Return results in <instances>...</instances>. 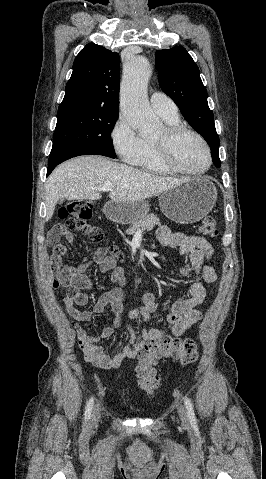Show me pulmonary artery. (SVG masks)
Segmentation results:
<instances>
[{
  "mask_svg": "<svg viewBox=\"0 0 266 479\" xmlns=\"http://www.w3.org/2000/svg\"><path fill=\"white\" fill-rule=\"evenodd\" d=\"M150 104L153 110L164 117H177L178 109L176 104L166 94L153 92L150 95Z\"/></svg>",
  "mask_w": 266,
  "mask_h": 479,
  "instance_id": "obj_1",
  "label": "pulmonary artery"
}]
</instances>
